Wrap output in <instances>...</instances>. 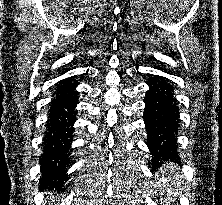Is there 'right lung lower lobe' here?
I'll use <instances>...</instances> for the list:
<instances>
[{
    "label": "right lung lower lobe",
    "mask_w": 222,
    "mask_h": 205,
    "mask_svg": "<svg viewBox=\"0 0 222 205\" xmlns=\"http://www.w3.org/2000/svg\"><path fill=\"white\" fill-rule=\"evenodd\" d=\"M77 81L62 80L57 87L56 97L51 102L48 129L44 137V152L40 160L42 177L40 186L61 187L66 182V167L69 163L74 110L78 102Z\"/></svg>",
    "instance_id": "98d812e1"
}]
</instances>
